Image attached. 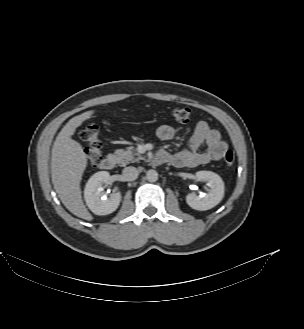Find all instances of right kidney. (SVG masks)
Segmentation results:
<instances>
[{
    "instance_id": "ca27d5eb",
    "label": "right kidney",
    "mask_w": 304,
    "mask_h": 329,
    "mask_svg": "<svg viewBox=\"0 0 304 329\" xmlns=\"http://www.w3.org/2000/svg\"><path fill=\"white\" fill-rule=\"evenodd\" d=\"M110 174L99 171L92 175L86 183L84 198L89 209L96 215H107L114 212L121 201V193L113 192L110 197L103 196V185L108 184Z\"/></svg>"
}]
</instances>
